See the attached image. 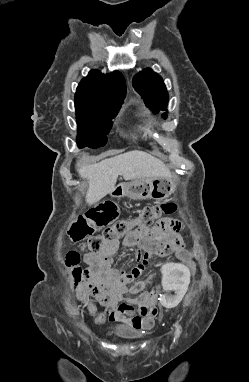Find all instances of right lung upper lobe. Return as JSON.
Wrapping results in <instances>:
<instances>
[{
    "label": "right lung upper lobe",
    "instance_id": "obj_1",
    "mask_svg": "<svg viewBox=\"0 0 249 382\" xmlns=\"http://www.w3.org/2000/svg\"><path fill=\"white\" fill-rule=\"evenodd\" d=\"M125 95V79L120 72L104 75L98 70H92L77 87L75 107L103 106L119 110Z\"/></svg>",
    "mask_w": 249,
    "mask_h": 382
}]
</instances>
